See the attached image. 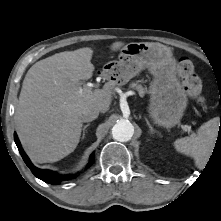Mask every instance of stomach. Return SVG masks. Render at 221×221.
Instances as JSON below:
<instances>
[{"label": "stomach", "instance_id": "obj_1", "mask_svg": "<svg viewBox=\"0 0 221 221\" xmlns=\"http://www.w3.org/2000/svg\"><path fill=\"white\" fill-rule=\"evenodd\" d=\"M143 69L153 76L148 91L150 116L160 126H175L188 99L175 74L176 60L169 47L160 43H129L121 49L118 60L104 65L103 72L110 81L125 84Z\"/></svg>", "mask_w": 221, "mask_h": 221}]
</instances>
